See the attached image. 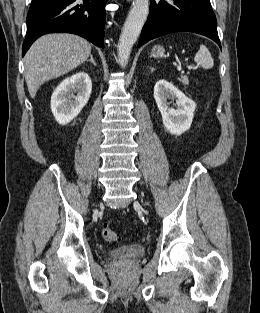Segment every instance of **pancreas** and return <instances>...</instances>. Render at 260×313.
<instances>
[{
    "instance_id": "cf45deb5",
    "label": "pancreas",
    "mask_w": 260,
    "mask_h": 313,
    "mask_svg": "<svg viewBox=\"0 0 260 313\" xmlns=\"http://www.w3.org/2000/svg\"><path fill=\"white\" fill-rule=\"evenodd\" d=\"M179 81L184 84V85H188L189 83V80H188V77L187 76H182Z\"/></svg>"
}]
</instances>
